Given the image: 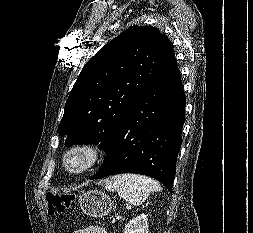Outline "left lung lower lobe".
<instances>
[{"label":"left lung lower lobe","mask_w":253,"mask_h":233,"mask_svg":"<svg viewBox=\"0 0 253 233\" xmlns=\"http://www.w3.org/2000/svg\"><path fill=\"white\" fill-rule=\"evenodd\" d=\"M185 103L173 58L125 118L102 166L90 179L137 173L159 180L172 192Z\"/></svg>","instance_id":"0a47b994"}]
</instances>
